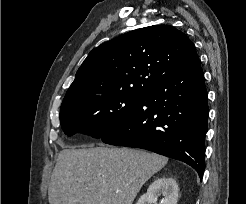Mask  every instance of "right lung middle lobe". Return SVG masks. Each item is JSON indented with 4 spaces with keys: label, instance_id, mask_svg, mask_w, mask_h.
I'll list each match as a JSON object with an SVG mask.
<instances>
[{
    "label": "right lung middle lobe",
    "instance_id": "dd1d6c3e",
    "mask_svg": "<svg viewBox=\"0 0 246 204\" xmlns=\"http://www.w3.org/2000/svg\"><path fill=\"white\" fill-rule=\"evenodd\" d=\"M141 93H116L81 100L60 109L61 127L67 136L84 133L102 138L121 126Z\"/></svg>",
    "mask_w": 246,
    "mask_h": 204
}]
</instances>
